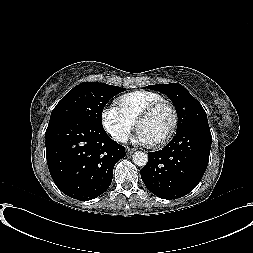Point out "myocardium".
<instances>
[{"instance_id":"f54148a6","label":"myocardium","mask_w":253,"mask_h":253,"mask_svg":"<svg viewBox=\"0 0 253 253\" xmlns=\"http://www.w3.org/2000/svg\"><path fill=\"white\" fill-rule=\"evenodd\" d=\"M161 106H168L172 112V125L170 127V130L168 133L158 142L151 144L155 148H160L168 144L174 135L176 134L178 124H179V115L176 106L169 100L166 99H160L158 101H155L151 104H149L147 107H145L140 114L138 115L136 119V128H139L140 123L146 119L148 116H150L155 110H157Z\"/></svg>"}]
</instances>
